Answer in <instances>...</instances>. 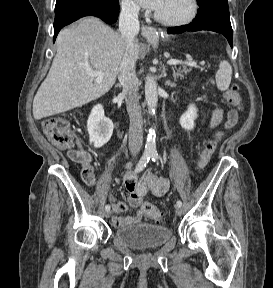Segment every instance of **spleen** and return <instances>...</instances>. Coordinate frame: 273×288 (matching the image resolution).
<instances>
[{
    "label": "spleen",
    "mask_w": 273,
    "mask_h": 288,
    "mask_svg": "<svg viewBox=\"0 0 273 288\" xmlns=\"http://www.w3.org/2000/svg\"><path fill=\"white\" fill-rule=\"evenodd\" d=\"M232 76V67L228 61L224 60L220 62L219 70L215 75V82L212 80V83H216L217 88L221 91H225L229 88L231 83Z\"/></svg>",
    "instance_id": "spleen-1"
}]
</instances>
